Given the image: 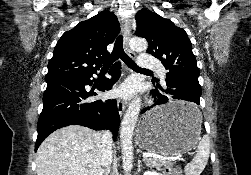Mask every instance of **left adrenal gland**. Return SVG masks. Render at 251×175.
I'll return each instance as SVG.
<instances>
[{"mask_svg":"<svg viewBox=\"0 0 251 175\" xmlns=\"http://www.w3.org/2000/svg\"><path fill=\"white\" fill-rule=\"evenodd\" d=\"M141 167H142V161L141 159H138V171H141Z\"/></svg>","mask_w":251,"mask_h":175,"instance_id":"left-adrenal-gland-1","label":"left adrenal gland"}]
</instances>
